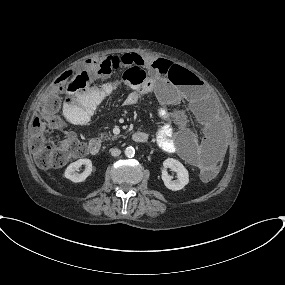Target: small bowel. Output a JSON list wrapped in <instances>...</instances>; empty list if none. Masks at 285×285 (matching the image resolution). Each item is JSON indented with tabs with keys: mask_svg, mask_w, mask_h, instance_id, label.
Here are the masks:
<instances>
[{
	"mask_svg": "<svg viewBox=\"0 0 285 285\" xmlns=\"http://www.w3.org/2000/svg\"><path fill=\"white\" fill-rule=\"evenodd\" d=\"M156 58L144 59L147 63L148 73L153 81L166 82L168 77L159 72L157 67H154ZM123 61L126 63H137V59H133L131 55L124 56ZM191 80V79H190ZM115 84L110 81H102L94 79L87 83L82 89L71 92L64 102V115L66 119L72 124H84L90 117L87 110L78 108L77 103H81L84 107L96 108L107 97L113 94ZM151 90V85H147L143 90L135 89L130 91L124 98L125 105L136 104L142 94ZM179 103L193 104L194 98H186L178 96ZM158 115L164 123L157 129L155 133V141L158 147L167 152H176L180 144H183L184 149L181 150V157L192 165L198 166L201 169L211 166L216 162L219 156L222 155L225 147V140L223 135L214 128L211 123L203 119L201 121L204 137L198 139L193 132H187L184 136L179 137L176 135L174 125L180 124L181 126L189 125V117L175 116L172 110V105L166 102L157 101ZM69 136V134H68Z\"/></svg>",
	"mask_w": 285,
	"mask_h": 285,
	"instance_id": "c3829d8e",
	"label": "small bowel"
}]
</instances>
